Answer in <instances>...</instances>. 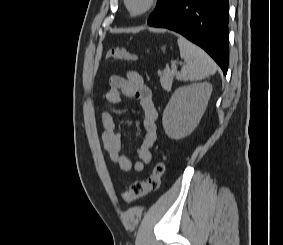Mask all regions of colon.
Segmentation results:
<instances>
[{"mask_svg":"<svg viewBox=\"0 0 283 245\" xmlns=\"http://www.w3.org/2000/svg\"><path fill=\"white\" fill-rule=\"evenodd\" d=\"M106 58L111 61L132 62L136 59L135 55L120 47H113L108 50ZM166 170V159L161 157L158 159L150 176L145 181H136L129 189L122 193V200L131 204L136 200L146 196L147 194L156 192L160 188L161 179Z\"/></svg>","mask_w":283,"mask_h":245,"instance_id":"5ec220e1","label":"colon"}]
</instances>
